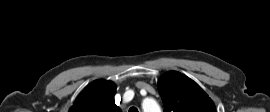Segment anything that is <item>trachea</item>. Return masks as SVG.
<instances>
[{
  "label": "trachea",
  "mask_w": 270,
  "mask_h": 112,
  "mask_svg": "<svg viewBox=\"0 0 270 112\" xmlns=\"http://www.w3.org/2000/svg\"><path fill=\"white\" fill-rule=\"evenodd\" d=\"M129 112H139L138 109L136 107H131L129 109Z\"/></svg>",
  "instance_id": "trachea-1"
}]
</instances>
